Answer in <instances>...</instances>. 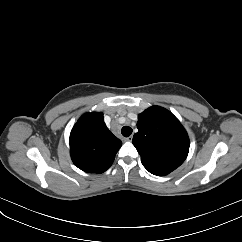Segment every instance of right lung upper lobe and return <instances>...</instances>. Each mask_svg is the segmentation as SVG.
<instances>
[{
  "label": "right lung upper lobe",
  "instance_id": "cb5924a9",
  "mask_svg": "<svg viewBox=\"0 0 242 242\" xmlns=\"http://www.w3.org/2000/svg\"><path fill=\"white\" fill-rule=\"evenodd\" d=\"M121 145V140L107 128L101 112L83 115L70 134L71 158L78 168L87 173L105 172Z\"/></svg>",
  "mask_w": 242,
  "mask_h": 242
}]
</instances>
